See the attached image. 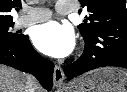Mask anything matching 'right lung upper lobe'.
<instances>
[{
  "mask_svg": "<svg viewBox=\"0 0 127 92\" xmlns=\"http://www.w3.org/2000/svg\"><path fill=\"white\" fill-rule=\"evenodd\" d=\"M15 7H21V0H0V25L13 23V17L9 12Z\"/></svg>",
  "mask_w": 127,
  "mask_h": 92,
  "instance_id": "1",
  "label": "right lung upper lobe"
}]
</instances>
